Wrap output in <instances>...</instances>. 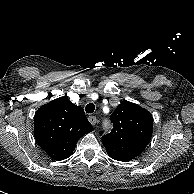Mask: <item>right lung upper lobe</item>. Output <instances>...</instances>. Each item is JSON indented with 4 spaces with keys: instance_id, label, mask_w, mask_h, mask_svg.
<instances>
[{
    "instance_id": "1",
    "label": "right lung upper lobe",
    "mask_w": 194,
    "mask_h": 194,
    "mask_svg": "<svg viewBox=\"0 0 194 194\" xmlns=\"http://www.w3.org/2000/svg\"><path fill=\"white\" fill-rule=\"evenodd\" d=\"M93 130L82 107L66 96L41 106L34 118L38 145L54 160L70 157L78 140Z\"/></svg>"
}]
</instances>
